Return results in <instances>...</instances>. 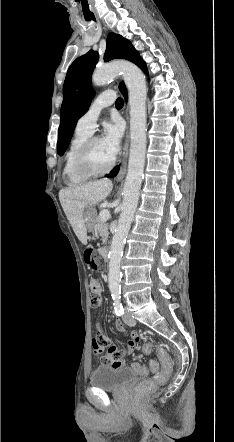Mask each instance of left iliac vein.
<instances>
[{
    "mask_svg": "<svg viewBox=\"0 0 234 442\" xmlns=\"http://www.w3.org/2000/svg\"><path fill=\"white\" fill-rule=\"evenodd\" d=\"M123 321L125 322V324H127L128 326H134L136 324L135 319L132 318L131 314L128 312H125V314L123 315Z\"/></svg>",
    "mask_w": 234,
    "mask_h": 442,
    "instance_id": "obj_1",
    "label": "left iliac vein"
}]
</instances>
